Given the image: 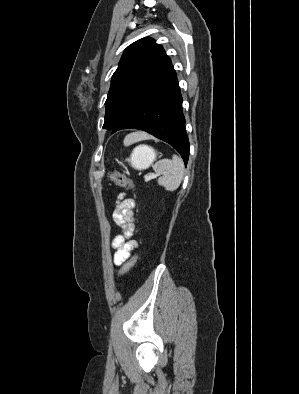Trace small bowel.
Here are the masks:
<instances>
[{
  "label": "small bowel",
  "mask_w": 299,
  "mask_h": 394,
  "mask_svg": "<svg viewBox=\"0 0 299 394\" xmlns=\"http://www.w3.org/2000/svg\"><path fill=\"white\" fill-rule=\"evenodd\" d=\"M135 205L133 199L125 198L124 194L118 195L113 219L120 227L121 233L117 235L112 242V247L115 249L114 263L116 266H121L125 263L130 257L131 251L138 246L136 241L131 240L135 229Z\"/></svg>",
  "instance_id": "small-bowel-1"
}]
</instances>
